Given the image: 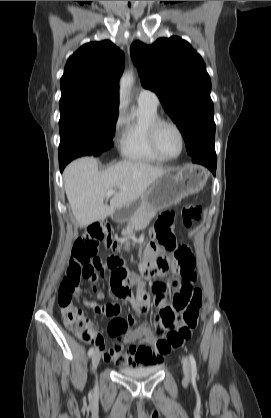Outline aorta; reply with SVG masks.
Here are the masks:
<instances>
[{
  "label": "aorta",
  "mask_w": 271,
  "mask_h": 418,
  "mask_svg": "<svg viewBox=\"0 0 271 418\" xmlns=\"http://www.w3.org/2000/svg\"><path fill=\"white\" fill-rule=\"evenodd\" d=\"M133 74L131 72L124 73L120 80V97L126 99L127 92L133 83Z\"/></svg>",
  "instance_id": "obj_1"
}]
</instances>
